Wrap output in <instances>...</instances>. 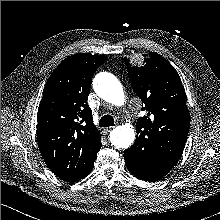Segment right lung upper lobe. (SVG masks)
<instances>
[{
    "instance_id": "obj_1",
    "label": "right lung upper lobe",
    "mask_w": 220,
    "mask_h": 220,
    "mask_svg": "<svg viewBox=\"0 0 220 220\" xmlns=\"http://www.w3.org/2000/svg\"><path fill=\"white\" fill-rule=\"evenodd\" d=\"M108 58L90 53L64 59L50 75L37 115V141L53 173L67 182L82 179L93 167L101 134L87 104L91 79Z\"/></svg>"
}]
</instances>
